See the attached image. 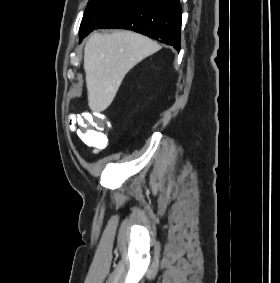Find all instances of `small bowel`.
<instances>
[{
	"label": "small bowel",
	"instance_id": "c3829d8e",
	"mask_svg": "<svg viewBox=\"0 0 280 283\" xmlns=\"http://www.w3.org/2000/svg\"><path fill=\"white\" fill-rule=\"evenodd\" d=\"M70 126L71 127H75L74 122L72 121V119H70Z\"/></svg>",
	"mask_w": 280,
	"mask_h": 283
}]
</instances>
